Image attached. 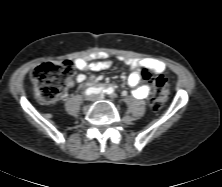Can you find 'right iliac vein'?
I'll list each match as a JSON object with an SVG mask.
<instances>
[{
  "label": "right iliac vein",
  "instance_id": "63e3f726",
  "mask_svg": "<svg viewBox=\"0 0 222 187\" xmlns=\"http://www.w3.org/2000/svg\"><path fill=\"white\" fill-rule=\"evenodd\" d=\"M86 100H87V101H93V100H95V95H89V96H87V97H86Z\"/></svg>",
  "mask_w": 222,
  "mask_h": 187
}]
</instances>
